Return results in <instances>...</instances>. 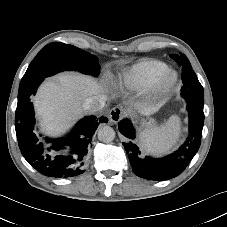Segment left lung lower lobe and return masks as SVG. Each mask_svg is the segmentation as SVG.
Returning <instances> with one entry per match:
<instances>
[{
	"label": "left lung lower lobe",
	"mask_w": 227,
	"mask_h": 227,
	"mask_svg": "<svg viewBox=\"0 0 227 227\" xmlns=\"http://www.w3.org/2000/svg\"><path fill=\"white\" fill-rule=\"evenodd\" d=\"M189 112V135L186 142L174 153L154 159L149 156L143 157L138 146L134 143L135 130L129 120L119 123V131L128 138L123 143L128 153L129 161L134 173L149 180H168L178 176L192 160L201 143L204 123V97L197 95L183 96Z\"/></svg>",
	"instance_id": "0a47b994"
}]
</instances>
